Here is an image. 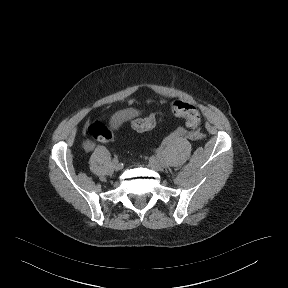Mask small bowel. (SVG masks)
I'll return each instance as SVG.
<instances>
[{
    "label": "small bowel",
    "instance_id": "obj_1",
    "mask_svg": "<svg viewBox=\"0 0 288 288\" xmlns=\"http://www.w3.org/2000/svg\"><path fill=\"white\" fill-rule=\"evenodd\" d=\"M91 147H92V145H90V144L87 145V148H88V149H91Z\"/></svg>",
    "mask_w": 288,
    "mask_h": 288
}]
</instances>
